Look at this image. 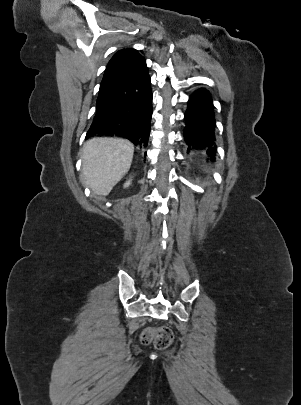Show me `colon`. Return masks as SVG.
<instances>
[{
  "label": "colon",
  "instance_id": "1",
  "mask_svg": "<svg viewBox=\"0 0 301 405\" xmlns=\"http://www.w3.org/2000/svg\"><path fill=\"white\" fill-rule=\"evenodd\" d=\"M174 340L173 332L168 327L147 328L141 335L143 344H153L156 349L163 350L168 348Z\"/></svg>",
  "mask_w": 301,
  "mask_h": 405
}]
</instances>
